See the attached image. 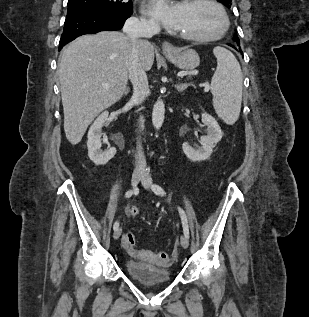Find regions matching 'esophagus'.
<instances>
[{
    "mask_svg": "<svg viewBox=\"0 0 309 317\" xmlns=\"http://www.w3.org/2000/svg\"><path fill=\"white\" fill-rule=\"evenodd\" d=\"M173 45L171 44V43H169V42H164L163 44H162V50L164 51V52H172L173 51Z\"/></svg>",
    "mask_w": 309,
    "mask_h": 317,
    "instance_id": "1",
    "label": "esophagus"
}]
</instances>
